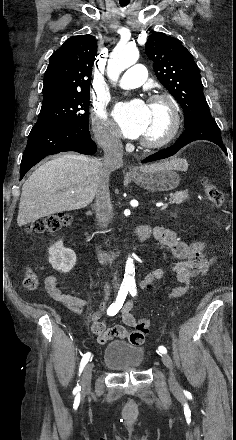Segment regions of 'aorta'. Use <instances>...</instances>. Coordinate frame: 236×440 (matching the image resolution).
<instances>
[{"label": "aorta", "mask_w": 236, "mask_h": 440, "mask_svg": "<svg viewBox=\"0 0 236 440\" xmlns=\"http://www.w3.org/2000/svg\"><path fill=\"white\" fill-rule=\"evenodd\" d=\"M139 59V51L130 46H117L111 54L107 65L108 77L112 82H116L121 72L135 64ZM135 275V265L133 258L128 257L125 266L126 281L132 280Z\"/></svg>", "instance_id": "762f6f07"}]
</instances>
